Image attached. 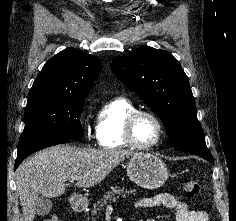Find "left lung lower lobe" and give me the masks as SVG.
I'll use <instances>...</instances> for the list:
<instances>
[{
    "mask_svg": "<svg viewBox=\"0 0 236 221\" xmlns=\"http://www.w3.org/2000/svg\"><path fill=\"white\" fill-rule=\"evenodd\" d=\"M204 159H206L207 161L211 162V163H214L213 162V157L211 155V153L209 152V150H206V151H203V152H197V153H194Z\"/></svg>",
    "mask_w": 236,
    "mask_h": 221,
    "instance_id": "1",
    "label": "left lung lower lobe"
}]
</instances>
